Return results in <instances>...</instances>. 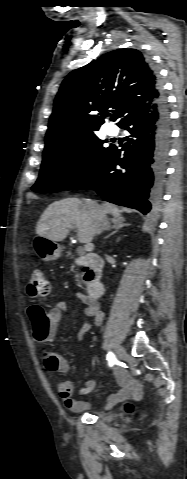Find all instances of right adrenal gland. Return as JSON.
<instances>
[{
	"label": "right adrenal gland",
	"instance_id": "2a0ac1e0",
	"mask_svg": "<svg viewBox=\"0 0 187 479\" xmlns=\"http://www.w3.org/2000/svg\"><path fill=\"white\" fill-rule=\"evenodd\" d=\"M110 221L113 224L111 228L114 229V231H112L109 235H107L105 237V239H108L110 236L116 234L124 226L129 225V224L124 223L123 221H118V220H115V219H111Z\"/></svg>",
	"mask_w": 187,
	"mask_h": 479
}]
</instances>
